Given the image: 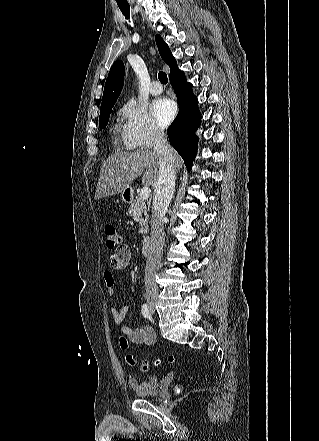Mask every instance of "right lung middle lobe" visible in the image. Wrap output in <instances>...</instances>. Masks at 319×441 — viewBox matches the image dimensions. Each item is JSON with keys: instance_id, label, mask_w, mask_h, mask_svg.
Here are the masks:
<instances>
[{"instance_id": "1", "label": "right lung middle lobe", "mask_w": 319, "mask_h": 441, "mask_svg": "<svg viewBox=\"0 0 319 441\" xmlns=\"http://www.w3.org/2000/svg\"><path fill=\"white\" fill-rule=\"evenodd\" d=\"M111 111H112V107H107L100 110V118H99L100 128L105 129L106 125L108 124V119Z\"/></svg>"}]
</instances>
